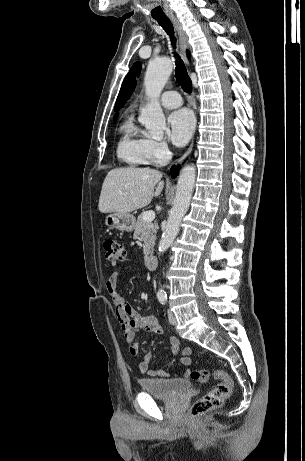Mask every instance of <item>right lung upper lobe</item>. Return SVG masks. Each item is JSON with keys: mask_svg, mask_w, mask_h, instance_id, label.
Listing matches in <instances>:
<instances>
[{"mask_svg": "<svg viewBox=\"0 0 305 461\" xmlns=\"http://www.w3.org/2000/svg\"><path fill=\"white\" fill-rule=\"evenodd\" d=\"M187 55H188V58H190L189 52H187ZM117 116H118V114H116V115L114 116V119H116Z\"/></svg>", "mask_w": 305, "mask_h": 461, "instance_id": "1", "label": "right lung upper lobe"}]
</instances>
